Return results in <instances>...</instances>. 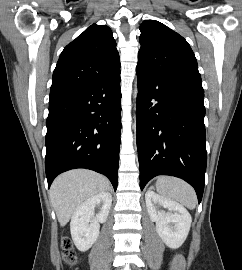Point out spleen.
Instances as JSON below:
<instances>
[{
    "instance_id": "spleen-1",
    "label": "spleen",
    "mask_w": 242,
    "mask_h": 270,
    "mask_svg": "<svg viewBox=\"0 0 242 270\" xmlns=\"http://www.w3.org/2000/svg\"><path fill=\"white\" fill-rule=\"evenodd\" d=\"M156 189L163 197L177 201L189 209H194L196 206L197 197L194 189L181 179L159 177L156 181Z\"/></svg>"
}]
</instances>
